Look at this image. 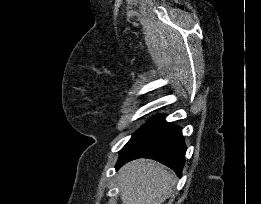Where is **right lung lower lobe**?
<instances>
[{
	"label": "right lung lower lobe",
	"mask_w": 261,
	"mask_h": 204,
	"mask_svg": "<svg viewBox=\"0 0 261 204\" xmlns=\"http://www.w3.org/2000/svg\"><path fill=\"white\" fill-rule=\"evenodd\" d=\"M185 152L181 128L166 122L164 116H157L137 130L121 149L116 169L128 161L144 157L157 160L181 176Z\"/></svg>",
	"instance_id": "right-lung-lower-lobe-1"
}]
</instances>
